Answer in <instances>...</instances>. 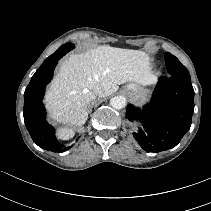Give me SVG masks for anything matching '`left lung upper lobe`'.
<instances>
[{
  "label": "left lung upper lobe",
  "mask_w": 211,
  "mask_h": 211,
  "mask_svg": "<svg viewBox=\"0 0 211 211\" xmlns=\"http://www.w3.org/2000/svg\"><path fill=\"white\" fill-rule=\"evenodd\" d=\"M165 64L168 73L171 75L190 77L187 69L180 63V61L170 53H165Z\"/></svg>",
  "instance_id": "left-lung-upper-lobe-1"
}]
</instances>
